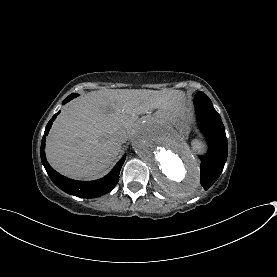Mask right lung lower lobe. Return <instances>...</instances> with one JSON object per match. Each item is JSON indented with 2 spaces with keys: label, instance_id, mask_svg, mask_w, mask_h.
Instances as JSON below:
<instances>
[{
  "label": "right lung lower lobe",
  "instance_id": "1",
  "mask_svg": "<svg viewBox=\"0 0 277 277\" xmlns=\"http://www.w3.org/2000/svg\"><path fill=\"white\" fill-rule=\"evenodd\" d=\"M76 94H71L69 95L63 103H66L76 97ZM60 113L57 112L53 118L48 122L46 129H45V135L42 138V143H41V160L42 163L50 177V179L53 181V183L63 190L64 192L77 196V197H82V198H95L102 196L108 192H110L118 183L119 181V173L120 169L125 161V157H123L113 168V170L104 178L95 180V181H89V182H84V181H76L69 179L67 177H64L60 175L58 172H56L47 162L46 157H45V139L46 135L48 134L52 123L56 116Z\"/></svg>",
  "mask_w": 277,
  "mask_h": 277
}]
</instances>
